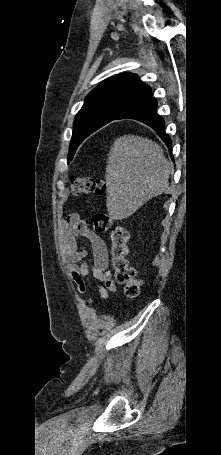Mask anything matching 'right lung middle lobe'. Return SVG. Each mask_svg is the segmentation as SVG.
<instances>
[{"label":"right lung middle lobe","instance_id":"dd1d6c3e","mask_svg":"<svg viewBox=\"0 0 221 455\" xmlns=\"http://www.w3.org/2000/svg\"><path fill=\"white\" fill-rule=\"evenodd\" d=\"M124 110L109 104H92L83 106L75 117L73 135L70 143L68 163L72 160L76 149L97 129L118 118Z\"/></svg>","mask_w":221,"mask_h":455}]
</instances>
